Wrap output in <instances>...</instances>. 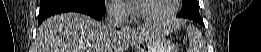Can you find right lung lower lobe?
I'll return each instance as SVG.
<instances>
[{"mask_svg": "<svg viewBox=\"0 0 261 52\" xmlns=\"http://www.w3.org/2000/svg\"><path fill=\"white\" fill-rule=\"evenodd\" d=\"M69 11L100 20L105 14V0H41L38 23L51 15Z\"/></svg>", "mask_w": 261, "mask_h": 52, "instance_id": "98d812e1", "label": "right lung lower lobe"}]
</instances>
